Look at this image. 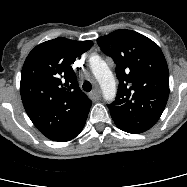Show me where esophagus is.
I'll return each mask as SVG.
<instances>
[{
	"label": "esophagus",
	"instance_id": "1",
	"mask_svg": "<svg viewBox=\"0 0 187 187\" xmlns=\"http://www.w3.org/2000/svg\"><path fill=\"white\" fill-rule=\"evenodd\" d=\"M101 96V91L100 89H94L91 93H90V98L93 100V101H97L99 100Z\"/></svg>",
	"mask_w": 187,
	"mask_h": 187
}]
</instances>
